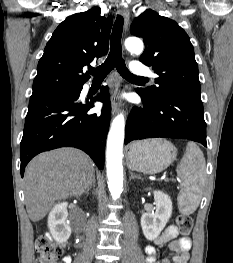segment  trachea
Listing matches in <instances>:
<instances>
[{
	"mask_svg": "<svg viewBox=\"0 0 233 263\" xmlns=\"http://www.w3.org/2000/svg\"><path fill=\"white\" fill-rule=\"evenodd\" d=\"M123 22V17L121 15H118L113 26V32L111 34V46L108 57L102 65L98 66L97 68L90 69L89 73L94 76V79H102L105 78L109 74V72L114 69V67H116L119 74L128 80L148 81L147 78L137 77L130 73L125 65V61L122 58L121 37Z\"/></svg>",
	"mask_w": 233,
	"mask_h": 263,
	"instance_id": "obj_1",
	"label": "trachea"
}]
</instances>
